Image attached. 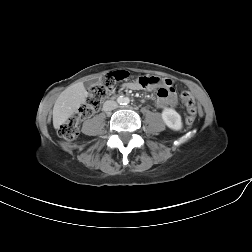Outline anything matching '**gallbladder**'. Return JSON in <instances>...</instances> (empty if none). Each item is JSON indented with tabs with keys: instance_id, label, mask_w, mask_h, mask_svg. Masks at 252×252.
I'll list each match as a JSON object with an SVG mask.
<instances>
[{
	"instance_id": "obj_1",
	"label": "gallbladder",
	"mask_w": 252,
	"mask_h": 252,
	"mask_svg": "<svg viewBox=\"0 0 252 252\" xmlns=\"http://www.w3.org/2000/svg\"><path fill=\"white\" fill-rule=\"evenodd\" d=\"M89 84H90V83H88V82H87V83H85V86H86V87H88V86H89Z\"/></svg>"
}]
</instances>
